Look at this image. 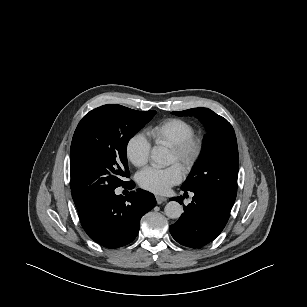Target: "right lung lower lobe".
Instances as JSON below:
<instances>
[{
  "label": "right lung lower lobe",
  "instance_id": "right-lung-lower-lobe-1",
  "mask_svg": "<svg viewBox=\"0 0 307 307\" xmlns=\"http://www.w3.org/2000/svg\"><path fill=\"white\" fill-rule=\"evenodd\" d=\"M133 181L124 187L134 188ZM156 204L153 194L137 189L128 197L114 191L77 210L87 235L107 248H118L132 242L140 227L141 217Z\"/></svg>",
  "mask_w": 307,
  "mask_h": 307
}]
</instances>
